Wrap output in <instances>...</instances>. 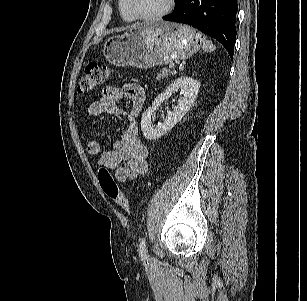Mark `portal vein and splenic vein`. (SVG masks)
<instances>
[{"instance_id":"obj_1","label":"portal vein and splenic vein","mask_w":307,"mask_h":301,"mask_svg":"<svg viewBox=\"0 0 307 301\" xmlns=\"http://www.w3.org/2000/svg\"><path fill=\"white\" fill-rule=\"evenodd\" d=\"M169 67H170V68H174V63H171V64L169 65Z\"/></svg>"}]
</instances>
